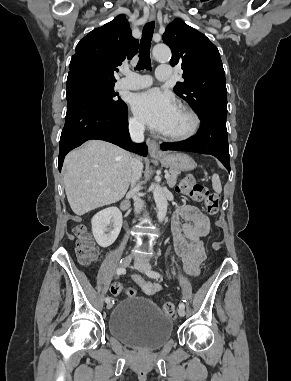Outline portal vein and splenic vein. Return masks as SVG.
I'll use <instances>...</instances> for the list:
<instances>
[{"label":"portal vein and splenic vein","mask_w":291,"mask_h":381,"mask_svg":"<svg viewBox=\"0 0 291 381\" xmlns=\"http://www.w3.org/2000/svg\"><path fill=\"white\" fill-rule=\"evenodd\" d=\"M170 177V174L169 173H166L165 174V178L168 179Z\"/></svg>","instance_id":"1"}]
</instances>
